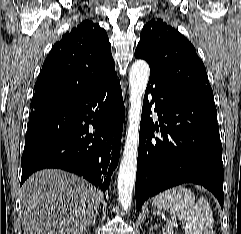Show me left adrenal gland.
I'll return each instance as SVG.
<instances>
[{
  "mask_svg": "<svg viewBox=\"0 0 241 234\" xmlns=\"http://www.w3.org/2000/svg\"><path fill=\"white\" fill-rule=\"evenodd\" d=\"M155 227H156L155 225H154V226L151 225V226H150V231L153 230V229H155Z\"/></svg>",
  "mask_w": 241,
  "mask_h": 234,
  "instance_id": "obj_1",
  "label": "left adrenal gland"
}]
</instances>
